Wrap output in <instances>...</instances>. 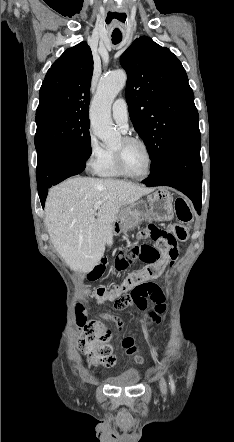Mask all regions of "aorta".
Returning a JSON list of instances; mask_svg holds the SVG:
<instances>
[{"label":"aorta","instance_id":"aorta-1","mask_svg":"<svg viewBox=\"0 0 234 442\" xmlns=\"http://www.w3.org/2000/svg\"><path fill=\"white\" fill-rule=\"evenodd\" d=\"M126 81L127 75L123 70L103 76L92 101L90 119L93 132L109 145L115 143L120 137L111 119V105L126 85Z\"/></svg>","mask_w":234,"mask_h":442}]
</instances>
